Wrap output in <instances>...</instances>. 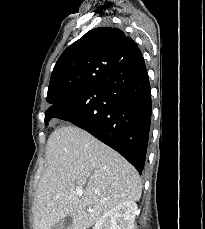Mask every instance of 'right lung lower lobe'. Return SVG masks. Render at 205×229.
Masks as SVG:
<instances>
[{"mask_svg":"<svg viewBox=\"0 0 205 229\" xmlns=\"http://www.w3.org/2000/svg\"><path fill=\"white\" fill-rule=\"evenodd\" d=\"M120 61L110 75L45 113L88 131L126 158L141 174L151 123V91L141 51Z\"/></svg>","mask_w":205,"mask_h":229,"instance_id":"98d812e1","label":"right lung lower lobe"}]
</instances>
